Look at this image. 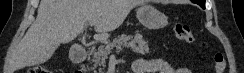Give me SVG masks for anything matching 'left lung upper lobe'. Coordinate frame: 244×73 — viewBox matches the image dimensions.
Listing matches in <instances>:
<instances>
[{"label":"left lung upper lobe","instance_id":"left-lung-upper-lobe-1","mask_svg":"<svg viewBox=\"0 0 244 73\" xmlns=\"http://www.w3.org/2000/svg\"><path fill=\"white\" fill-rule=\"evenodd\" d=\"M194 3H197L202 8H205V0H192Z\"/></svg>","mask_w":244,"mask_h":73}]
</instances>
